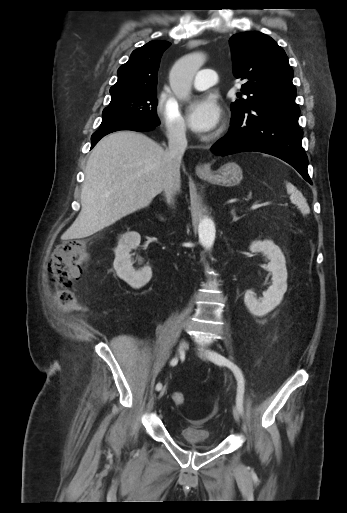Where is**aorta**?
Instances as JSON below:
<instances>
[{"label": "aorta", "instance_id": "762f6f07", "mask_svg": "<svg viewBox=\"0 0 347 513\" xmlns=\"http://www.w3.org/2000/svg\"><path fill=\"white\" fill-rule=\"evenodd\" d=\"M205 62V55L200 52L191 53L181 57L173 65L170 75V87L175 96L180 100L190 97L192 80L196 72ZM214 222L204 217L199 224V238L203 247L210 250L215 241Z\"/></svg>", "mask_w": 347, "mask_h": 513}]
</instances>
